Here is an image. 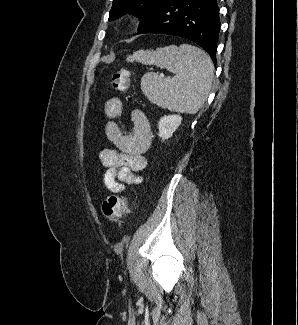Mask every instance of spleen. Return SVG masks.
I'll return each instance as SVG.
<instances>
[{
  "instance_id": "spleen-1",
  "label": "spleen",
  "mask_w": 298,
  "mask_h": 325,
  "mask_svg": "<svg viewBox=\"0 0 298 325\" xmlns=\"http://www.w3.org/2000/svg\"><path fill=\"white\" fill-rule=\"evenodd\" d=\"M126 60L156 64L174 72L173 78H161L157 72H145L141 78L143 94L161 108L195 114L208 98L214 66L210 56L198 46L169 44L155 50L141 48L128 54Z\"/></svg>"
}]
</instances>
